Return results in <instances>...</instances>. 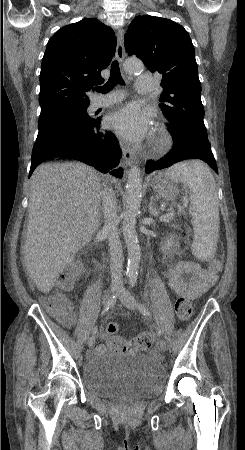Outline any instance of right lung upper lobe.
Wrapping results in <instances>:
<instances>
[{"label":"right lung upper lobe","mask_w":245,"mask_h":450,"mask_svg":"<svg viewBox=\"0 0 245 450\" xmlns=\"http://www.w3.org/2000/svg\"><path fill=\"white\" fill-rule=\"evenodd\" d=\"M116 48L113 30L85 18L62 27L48 41L40 72L41 111L89 105L87 92L103 83L100 73Z\"/></svg>","instance_id":"1"}]
</instances>
